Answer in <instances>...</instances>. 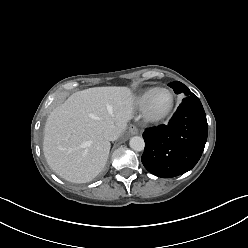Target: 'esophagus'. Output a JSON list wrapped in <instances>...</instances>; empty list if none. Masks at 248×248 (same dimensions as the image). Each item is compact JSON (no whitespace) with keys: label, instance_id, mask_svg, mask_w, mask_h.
<instances>
[{"label":"esophagus","instance_id":"esophagus-1","mask_svg":"<svg viewBox=\"0 0 248 248\" xmlns=\"http://www.w3.org/2000/svg\"><path fill=\"white\" fill-rule=\"evenodd\" d=\"M129 132L132 135H137L139 133V130L135 125H130Z\"/></svg>","mask_w":248,"mask_h":248}]
</instances>
